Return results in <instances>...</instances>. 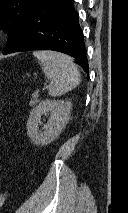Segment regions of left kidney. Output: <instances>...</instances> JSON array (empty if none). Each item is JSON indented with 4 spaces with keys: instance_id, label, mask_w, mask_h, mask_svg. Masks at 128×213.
<instances>
[{
    "instance_id": "5707ae66",
    "label": "left kidney",
    "mask_w": 128,
    "mask_h": 213,
    "mask_svg": "<svg viewBox=\"0 0 128 213\" xmlns=\"http://www.w3.org/2000/svg\"><path fill=\"white\" fill-rule=\"evenodd\" d=\"M72 104L64 100L45 99L30 113L27 121V134L37 146H45L54 141L69 121ZM50 114L44 131L39 132L41 116Z\"/></svg>"
}]
</instances>
